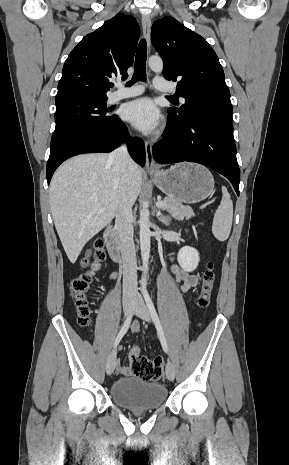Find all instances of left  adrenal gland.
Returning a JSON list of instances; mask_svg holds the SVG:
<instances>
[{
	"label": "left adrenal gland",
	"instance_id": "1",
	"mask_svg": "<svg viewBox=\"0 0 289 465\" xmlns=\"http://www.w3.org/2000/svg\"><path fill=\"white\" fill-rule=\"evenodd\" d=\"M156 216H157L158 220L160 222H162L163 224H165V225L169 224L170 217L166 216V215H163L160 210L156 211Z\"/></svg>",
	"mask_w": 289,
	"mask_h": 465
}]
</instances>
